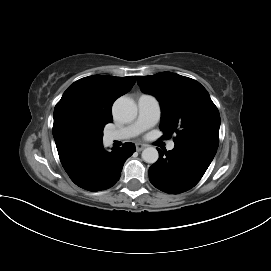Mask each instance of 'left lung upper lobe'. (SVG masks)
Returning <instances> with one entry per match:
<instances>
[{
  "mask_svg": "<svg viewBox=\"0 0 271 271\" xmlns=\"http://www.w3.org/2000/svg\"><path fill=\"white\" fill-rule=\"evenodd\" d=\"M137 83L144 93L159 100L164 137L176 133L174 143L190 141L218 148L219 111L199 82L176 73L161 72L138 76Z\"/></svg>",
  "mask_w": 271,
  "mask_h": 271,
  "instance_id": "obj_1",
  "label": "left lung upper lobe"
}]
</instances>
